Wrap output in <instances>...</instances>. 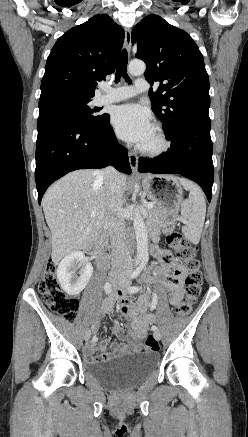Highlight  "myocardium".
<instances>
[{
    "mask_svg": "<svg viewBox=\"0 0 248 437\" xmlns=\"http://www.w3.org/2000/svg\"><path fill=\"white\" fill-rule=\"evenodd\" d=\"M154 132H155L157 140H158V145L156 147L149 148V147H145L141 144L137 147V149L140 153H142L145 156L152 157V158L160 157V156L164 155L165 153H167L169 151V149L171 147V143H170L169 139L167 138V136H166V134L161 126H159V125L154 126Z\"/></svg>",
    "mask_w": 248,
    "mask_h": 437,
    "instance_id": "obj_1",
    "label": "myocardium"
}]
</instances>
